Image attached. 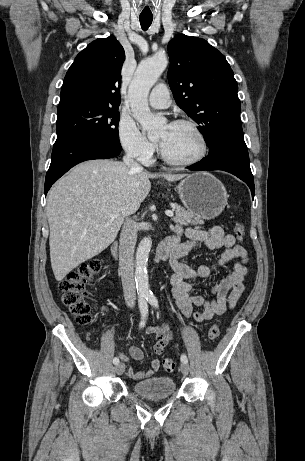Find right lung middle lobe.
<instances>
[{"label": "right lung middle lobe", "mask_w": 305, "mask_h": 461, "mask_svg": "<svg viewBox=\"0 0 305 461\" xmlns=\"http://www.w3.org/2000/svg\"><path fill=\"white\" fill-rule=\"evenodd\" d=\"M56 142L94 138L121 148L118 107L98 103H76L58 107Z\"/></svg>", "instance_id": "1"}]
</instances>
